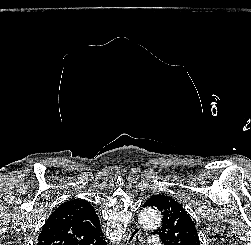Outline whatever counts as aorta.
<instances>
[{"label":"aorta","mask_w":251,"mask_h":245,"mask_svg":"<svg viewBox=\"0 0 251 245\" xmlns=\"http://www.w3.org/2000/svg\"><path fill=\"white\" fill-rule=\"evenodd\" d=\"M140 222L147 228H157L161 223V216L156 209L148 208L141 212Z\"/></svg>","instance_id":"obj_1"}]
</instances>
